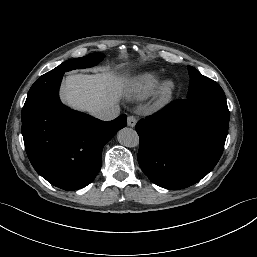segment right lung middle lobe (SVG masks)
<instances>
[{
	"label": "right lung middle lobe",
	"instance_id": "right-lung-middle-lobe-1",
	"mask_svg": "<svg viewBox=\"0 0 257 257\" xmlns=\"http://www.w3.org/2000/svg\"><path fill=\"white\" fill-rule=\"evenodd\" d=\"M104 57H105V55L102 53H92L90 55H87V56H84L81 58L68 60L66 62H63L58 67H56L55 69L51 70L50 72H48L42 76L52 77L57 74L64 73L66 71H70L72 69L91 67V66L97 65L99 62H101Z\"/></svg>",
	"mask_w": 257,
	"mask_h": 257
}]
</instances>
